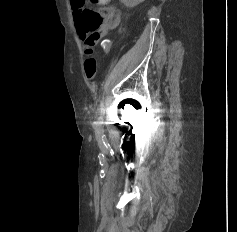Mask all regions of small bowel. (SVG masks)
Instances as JSON below:
<instances>
[{
	"mask_svg": "<svg viewBox=\"0 0 237 232\" xmlns=\"http://www.w3.org/2000/svg\"><path fill=\"white\" fill-rule=\"evenodd\" d=\"M101 5H104L102 3H99ZM106 8H101L98 12L101 15H104ZM112 14L108 17H105V20L102 24L101 33L105 34L107 31L115 28L119 22V13L116 9H111ZM104 52L107 53L109 50L108 44H104L103 46ZM84 71L86 74V77L88 79H91L94 77L96 72V61L93 57V45L86 42L84 47Z\"/></svg>",
	"mask_w": 237,
	"mask_h": 232,
	"instance_id": "obj_1",
	"label": "small bowel"
}]
</instances>
